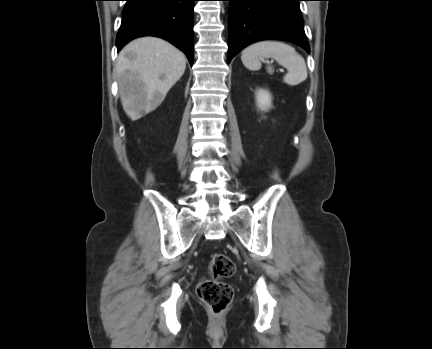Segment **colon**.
Here are the masks:
<instances>
[{
	"label": "colon",
	"mask_w": 432,
	"mask_h": 349,
	"mask_svg": "<svg viewBox=\"0 0 432 349\" xmlns=\"http://www.w3.org/2000/svg\"><path fill=\"white\" fill-rule=\"evenodd\" d=\"M235 269L229 256L216 253L212 257L208 278L198 285V296L215 314L223 313L233 300V288L224 279L231 277Z\"/></svg>",
	"instance_id": "1"
}]
</instances>
